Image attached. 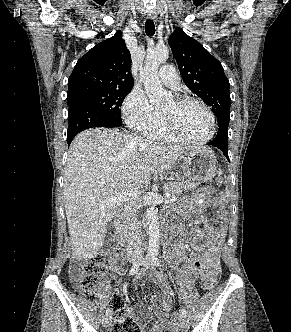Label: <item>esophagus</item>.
Listing matches in <instances>:
<instances>
[{"label": "esophagus", "instance_id": "1", "mask_svg": "<svg viewBox=\"0 0 291 332\" xmlns=\"http://www.w3.org/2000/svg\"><path fill=\"white\" fill-rule=\"evenodd\" d=\"M148 18L153 20V21H157V14L155 11L151 10L148 12Z\"/></svg>", "mask_w": 291, "mask_h": 332}]
</instances>
